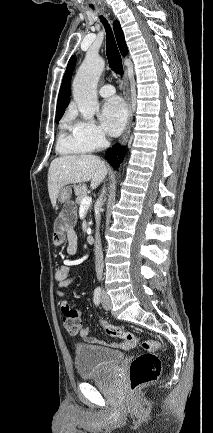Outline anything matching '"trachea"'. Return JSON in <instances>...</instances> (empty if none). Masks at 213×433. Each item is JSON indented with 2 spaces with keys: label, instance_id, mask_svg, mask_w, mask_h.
<instances>
[{
  "label": "trachea",
  "instance_id": "1",
  "mask_svg": "<svg viewBox=\"0 0 213 433\" xmlns=\"http://www.w3.org/2000/svg\"><path fill=\"white\" fill-rule=\"evenodd\" d=\"M101 20L106 29V37H107L106 54H107L109 66L111 70L115 73V75L122 76L123 74L122 59L118 47L116 45V41L114 39L113 33L107 21L103 17H101Z\"/></svg>",
  "mask_w": 213,
  "mask_h": 433
}]
</instances>
